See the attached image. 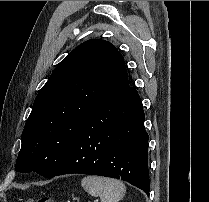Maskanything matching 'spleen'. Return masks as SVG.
Here are the masks:
<instances>
[{
    "instance_id": "3e777b00",
    "label": "spleen",
    "mask_w": 209,
    "mask_h": 202,
    "mask_svg": "<svg viewBox=\"0 0 209 202\" xmlns=\"http://www.w3.org/2000/svg\"><path fill=\"white\" fill-rule=\"evenodd\" d=\"M81 185L91 196H99L101 202H119L126 192L122 181L100 176H86Z\"/></svg>"
}]
</instances>
